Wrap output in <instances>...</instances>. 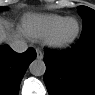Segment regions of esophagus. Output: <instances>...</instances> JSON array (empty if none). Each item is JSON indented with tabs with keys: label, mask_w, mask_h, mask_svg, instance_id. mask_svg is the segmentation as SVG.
<instances>
[{
	"label": "esophagus",
	"mask_w": 95,
	"mask_h": 95,
	"mask_svg": "<svg viewBox=\"0 0 95 95\" xmlns=\"http://www.w3.org/2000/svg\"><path fill=\"white\" fill-rule=\"evenodd\" d=\"M36 53H37V59L42 60L43 59V53L40 49H36Z\"/></svg>",
	"instance_id": "esophagus-1"
}]
</instances>
